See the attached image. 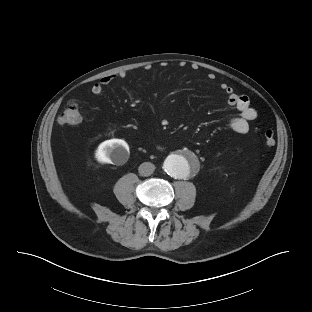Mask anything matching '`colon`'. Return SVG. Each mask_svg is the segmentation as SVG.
<instances>
[{
	"label": "colon",
	"mask_w": 312,
	"mask_h": 312,
	"mask_svg": "<svg viewBox=\"0 0 312 312\" xmlns=\"http://www.w3.org/2000/svg\"><path fill=\"white\" fill-rule=\"evenodd\" d=\"M58 122L62 125L74 126L81 122V113L79 105L76 102H70L58 116ZM264 141L269 147L275 145V135L271 129L264 131Z\"/></svg>",
	"instance_id": "1"
}]
</instances>
